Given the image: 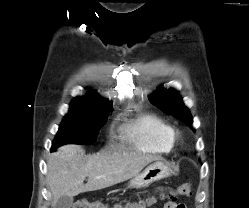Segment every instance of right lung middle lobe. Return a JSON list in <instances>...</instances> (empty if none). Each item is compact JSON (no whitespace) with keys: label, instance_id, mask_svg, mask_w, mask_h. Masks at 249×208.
I'll list each match as a JSON object with an SVG mask.
<instances>
[{"label":"right lung middle lobe","instance_id":"1","mask_svg":"<svg viewBox=\"0 0 249 208\" xmlns=\"http://www.w3.org/2000/svg\"><path fill=\"white\" fill-rule=\"evenodd\" d=\"M110 111L70 108L52 142L51 151L67 143L88 145L95 142L99 129L106 122Z\"/></svg>","mask_w":249,"mask_h":208}]
</instances>
